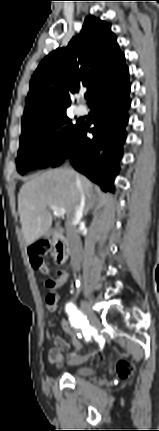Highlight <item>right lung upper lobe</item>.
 <instances>
[{"label":"right lung upper lobe","mask_w":159,"mask_h":431,"mask_svg":"<svg viewBox=\"0 0 159 431\" xmlns=\"http://www.w3.org/2000/svg\"><path fill=\"white\" fill-rule=\"evenodd\" d=\"M129 75L111 26L93 16L85 19L80 34L66 48L46 56L36 71L26 98L22 131L66 112L68 94L87 87L89 104L105 88Z\"/></svg>","instance_id":"obj_1"}]
</instances>
